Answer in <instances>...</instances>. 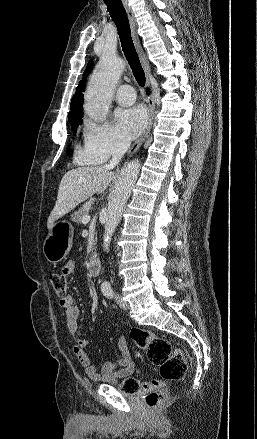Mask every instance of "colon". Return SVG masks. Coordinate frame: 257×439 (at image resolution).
Returning <instances> with one entry per match:
<instances>
[{
	"label": "colon",
	"mask_w": 257,
	"mask_h": 439,
	"mask_svg": "<svg viewBox=\"0 0 257 439\" xmlns=\"http://www.w3.org/2000/svg\"><path fill=\"white\" fill-rule=\"evenodd\" d=\"M50 283L58 297L64 298L67 293V280L62 274H52ZM130 337L134 344L143 350L149 361L158 368L160 378H153L140 382L135 378L127 377L120 383V390L124 393H146L145 402L149 407H156L167 400L164 382L179 380L187 372V360L180 348H175L171 343L154 333L133 328Z\"/></svg>",
	"instance_id": "obj_1"
}]
</instances>
